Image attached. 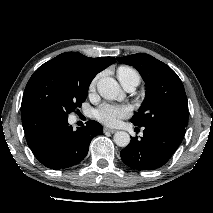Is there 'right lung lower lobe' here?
<instances>
[{"instance_id":"98d812e1","label":"right lung lower lobe","mask_w":213,"mask_h":213,"mask_svg":"<svg viewBox=\"0 0 213 213\" xmlns=\"http://www.w3.org/2000/svg\"><path fill=\"white\" fill-rule=\"evenodd\" d=\"M21 116L31 151L41 164L54 170L81 162L91 140L103 133L101 124L91 120L74 131L67 118L37 107H23Z\"/></svg>"}]
</instances>
